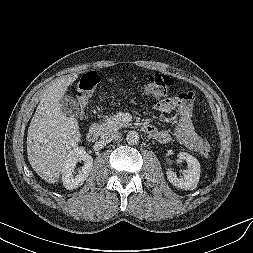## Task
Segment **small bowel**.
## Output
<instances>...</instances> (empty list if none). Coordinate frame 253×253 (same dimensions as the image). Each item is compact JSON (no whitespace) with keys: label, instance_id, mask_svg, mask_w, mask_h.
Segmentation results:
<instances>
[{"label":"small bowel","instance_id":"small-bowel-1","mask_svg":"<svg viewBox=\"0 0 253 253\" xmlns=\"http://www.w3.org/2000/svg\"><path fill=\"white\" fill-rule=\"evenodd\" d=\"M192 107L193 101L188 102L177 98H164L156 104V110L161 113L178 112L179 121L174 130L176 138L189 150L199 151L201 138L197 135L193 127ZM144 129L151 137L161 143H166L171 139L169 131L157 130L151 124H146Z\"/></svg>","mask_w":253,"mask_h":253}]
</instances>
